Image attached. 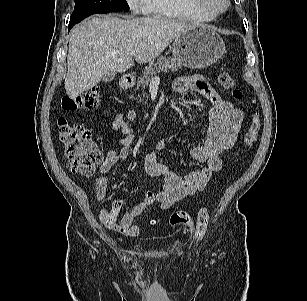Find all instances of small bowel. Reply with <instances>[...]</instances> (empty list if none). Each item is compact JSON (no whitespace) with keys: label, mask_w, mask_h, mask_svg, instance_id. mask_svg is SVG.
Segmentation results:
<instances>
[{"label":"small bowel","mask_w":307,"mask_h":301,"mask_svg":"<svg viewBox=\"0 0 307 301\" xmlns=\"http://www.w3.org/2000/svg\"><path fill=\"white\" fill-rule=\"evenodd\" d=\"M173 89L176 93L193 91L198 93L208 105L209 125L204 144L197 145L190 150L192 159L205 163V166L195 169L184 178L179 177L166 167L158 157V151L164 147V140L157 144L154 151L144 157L147 173L162 180L158 191H147L143 200L130 207L122 216L120 211L124 203L121 196H117L108 208L100 210L99 218L109 229L128 237H136L141 227L135 222L145 210L158 203L162 210L169 209L175 202L205 189L212 175L222 168V154L230 149L237 138L244 113L230 101L220 97L214 88L199 75L183 76L175 79ZM137 118L135 110H128L117 114L110 123V130L121 132L123 137L116 149L106 152L100 165L101 175L95 179V191L99 200L107 197L108 178L105 174L119 161L129 155L133 134L130 124Z\"/></svg>","instance_id":"c3829d8e"}]
</instances>
